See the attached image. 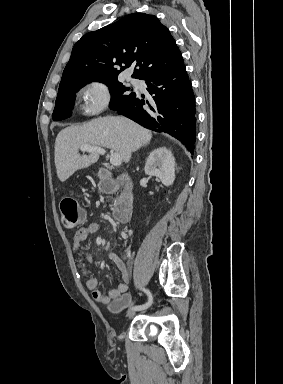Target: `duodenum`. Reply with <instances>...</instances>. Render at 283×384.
Masks as SVG:
<instances>
[{
  "label": "duodenum",
  "instance_id": "obj_1",
  "mask_svg": "<svg viewBox=\"0 0 283 384\" xmlns=\"http://www.w3.org/2000/svg\"><path fill=\"white\" fill-rule=\"evenodd\" d=\"M102 179H109L111 174L106 171L102 170ZM119 179L124 183L126 186L125 190L122 192L119 201L117 205L114 208L113 216L119 223H127L132 216L133 211V202H134V194L131 189V183L128 176L123 175L119 177Z\"/></svg>",
  "mask_w": 283,
  "mask_h": 384
}]
</instances>
